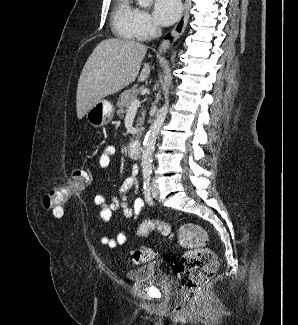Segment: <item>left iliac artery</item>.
<instances>
[{"instance_id": "left-iliac-artery-1", "label": "left iliac artery", "mask_w": 298, "mask_h": 325, "mask_svg": "<svg viewBox=\"0 0 298 325\" xmlns=\"http://www.w3.org/2000/svg\"><path fill=\"white\" fill-rule=\"evenodd\" d=\"M143 193L145 200L149 205H153L152 198L150 196V180H151V171H144L143 173Z\"/></svg>"}]
</instances>
